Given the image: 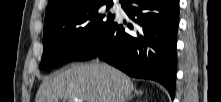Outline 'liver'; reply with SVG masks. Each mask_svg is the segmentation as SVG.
<instances>
[{
  "label": "liver",
  "mask_w": 221,
  "mask_h": 102,
  "mask_svg": "<svg viewBox=\"0 0 221 102\" xmlns=\"http://www.w3.org/2000/svg\"><path fill=\"white\" fill-rule=\"evenodd\" d=\"M133 90L127 75L95 62L73 66L45 79L35 102H125Z\"/></svg>",
  "instance_id": "liver-1"
}]
</instances>
